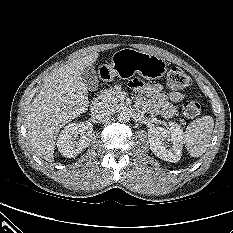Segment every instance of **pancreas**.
I'll return each instance as SVG.
<instances>
[{"label": "pancreas", "mask_w": 233, "mask_h": 233, "mask_svg": "<svg viewBox=\"0 0 233 233\" xmlns=\"http://www.w3.org/2000/svg\"><path fill=\"white\" fill-rule=\"evenodd\" d=\"M121 92V86H115L110 90L101 91L102 101L108 104L111 107H117L123 104V101L118 98L119 93ZM184 123V120H180Z\"/></svg>", "instance_id": "pancreas-1"}]
</instances>
